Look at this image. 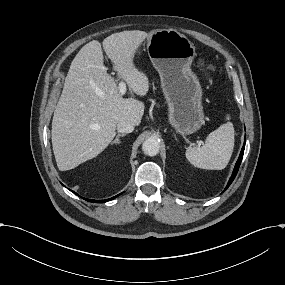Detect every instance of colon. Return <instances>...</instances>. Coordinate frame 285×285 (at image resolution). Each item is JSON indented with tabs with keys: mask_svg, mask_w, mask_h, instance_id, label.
<instances>
[{
	"mask_svg": "<svg viewBox=\"0 0 285 285\" xmlns=\"http://www.w3.org/2000/svg\"><path fill=\"white\" fill-rule=\"evenodd\" d=\"M199 70L205 77H209L214 71V66L206 61H200Z\"/></svg>",
	"mask_w": 285,
	"mask_h": 285,
	"instance_id": "1",
	"label": "colon"
}]
</instances>
